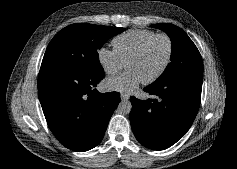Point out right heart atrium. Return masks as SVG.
I'll use <instances>...</instances> for the list:
<instances>
[{
  "instance_id": "1",
  "label": "right heart atrium",
  "mask_w": 237,
  "mask_h": 169,
  "mask_svg": "<svg viewBox=\"0 0 237 169\" xmlns=\"http://www.w3.org/2000/svg\"><path fill=\"white\" fill-rule=\"evenodd\" d=\"M97 59L107 74H115L124 67V62L114 49L100 47L97 51Z\"/></svg>"
}]
</instances>
